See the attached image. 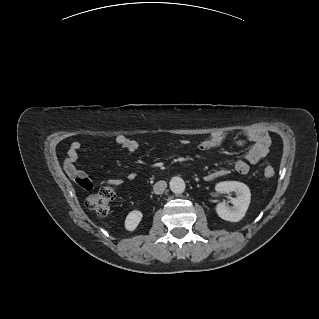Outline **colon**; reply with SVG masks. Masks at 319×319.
<instances>
[{
    "label": "colon",
    "mask_w": 319,
    "mask_h": 319,
    "mask_svg": "<svg viewBox=\"0 0 319 319\" xmlns=\"http://www.w3.org/2000/svg\"><path fill=\"white\" fill-rule=\"evenodd\" d=\"M263 174L266 178H272L275 175V169L272 166H266L263 170ZM79 183L88 190L93 188L89 180L81 179ZM114 198L115 190L110 186H104L87 197L86 206L96 214L104 216L110 212Z\"/></svg>",
    "instance_id": "1"
}]
</instances>
